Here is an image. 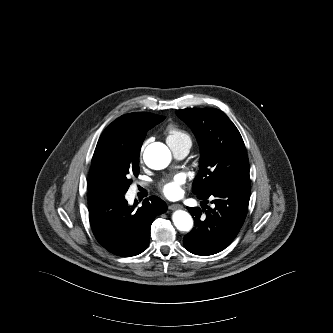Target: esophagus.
Returning <instances> with one entry per match:
<instances>
[{"instance_id": "1", "label": "esophagus", "mask_w": 333, "mask_h": 333, "mask_svg": "<svg viewBox=\"0 0 333 333\" xmlns=\"http://www.w3.org/2000/svg\"><path fill=\"white\" fill-rule=\"evenodd\" d=\"M183 206L181 204H172L169 206L170 210L182 209Z\"/></svg>"}]
</instances>
